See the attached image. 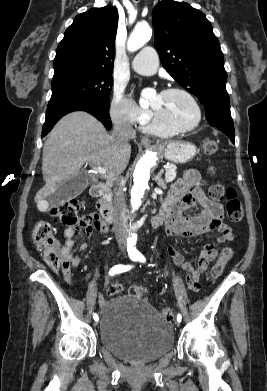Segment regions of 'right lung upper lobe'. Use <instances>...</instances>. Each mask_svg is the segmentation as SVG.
Masks as SVG:
<instances>
[{
  "label": "right lung upper lobe",
  "mask_w": 267,
  "mask_h": 391,
  "mask_svg": "<svg viewBox=\"0 0 267 391\" xmlns=\"http://www.w3.org/2000/svg\"><path fill=\"white\" fill-rule=\"evenodd\" d=\"M117 25L113 6L77 15L58 45L54 76L72 71L112 73Z\"/></svg>",
  "instance_id": "obj_1"
}]
</instances>
